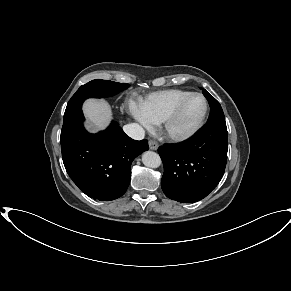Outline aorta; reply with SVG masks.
I'll return each mask as SVG.
<instances>
[{"label":"aorta","mask_w":291,"mask_h":291,"mask_svg":"<svg viewBox=\"0 0 291 291\" xmlns=\"http://www.w3.org/2000/svg\"><path fill=\"white\" fill-rule=\"evenodd\" d=\"M142 162L145 166L150 168H157L161 165L160 156L153 151H146L142 155Z\"/></svg>","instance_id":"762f6f07"}]
</instances>
